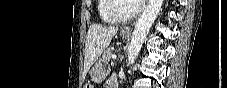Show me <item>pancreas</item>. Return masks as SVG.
Wrapping results in <instances>:
<instances>
[{"label":"pancreas","mask_w":227,"mask_h":88,"mask_svg":"<svg viewBox=\"0 0 227 88\" xmlns=\"http://www.w3.org/2000/svg\"><path fill=\"white\" fill-rule=\"evenodd\" d=\"M112 55H113V50L111 48H108L103 53V59L109 61L112 58Z\"/></svg>","instance_id":"1"}]
</instances>
